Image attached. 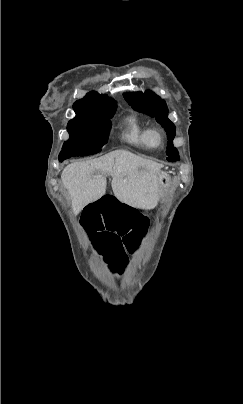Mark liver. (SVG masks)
<instances>
[{"label": "liver", "instance_id": "6515ba94", "mask_svg": "<svg viewBox=\"0 0 243 404\" xmlns=\"http://www.w3.org/2000/svg\"><path fill=\"white\" fill-rule=\"evenodd\" d=\"M162 164L135 156L126 150H115L101 158L75 162L64 168L61 174L63 186L72 196L75 216L106 194L107 180L111 182L114 196L133 208L152 210L161 198L159 174Z\"/></svg>", "mask_w": 243, "mask_h": 404}]
</instances>
